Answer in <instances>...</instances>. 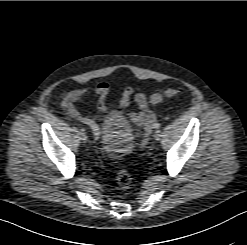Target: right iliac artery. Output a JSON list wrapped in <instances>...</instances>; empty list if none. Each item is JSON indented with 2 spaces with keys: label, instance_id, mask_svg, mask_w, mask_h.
Masks as SVG:
<instances>
[{
  "label": "right iliac artery",
  "instance_id": "82829eb1",
  "mask_svg": "<svg viewBox=\"0 0 247 245\" xmlns=\"http://www.w3.org/2000/svg\"><path fill=\"white\" fill-rule=\"evenodd\" d=\"M81 122L83 124H86L88 126L91 127L92 132H93V140H97L98 139V135H99V128L98 126L89 118L85 117V118H81Z\"/></svg>",
  "mask_w": 247,
  "mask_h": 245
}]
</instances>
